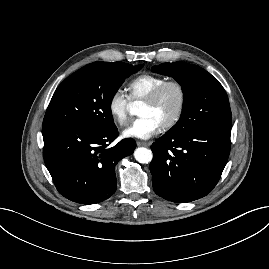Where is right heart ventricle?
I'll list each match as a JSON object with an SVG mask.
<instances>
[{"label": "right heart ventricle", "instance_id": "obj_1", "mask_svg": "<svg viewBox=\"0 0 269 269\" xmlns=\"http://www.w3.org/2000/svg\"><path fill=\"white\" fill-rule=\"evenodd\" d=\"M166 81L162 76L141 74L132 79L126 86L128 97L132 101L143 100L154 88Z\"/></svg>", "mask_w": 269, "mask_h": 269}]
</instances>
